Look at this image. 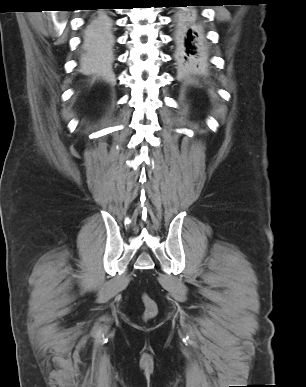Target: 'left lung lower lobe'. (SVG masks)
I'll return each instance as SVG.
<instances>
[{"label":"left lung lower lobe","mask_w":306,"mask_h":387,"mask_svg":"<svg viewBox=\"0 0 306 387\" xmlns=\"http://www.w3.org/2000/svg\"><path fill=\"white\" fill-rule=\"evenodd\" d=\"M200 0H173L172 4H182L175 12L174 45L175 58L181 65L196 64L205 53V38L199 24V14L190 6H202Z\"/></svg>","instance_id":"left-lung-lower-lobe-1"}]
</instances>
